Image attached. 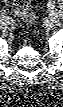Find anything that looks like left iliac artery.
<instances>
[{"instance_id": "obj_1", "label": "left iliac artery", "mask_w": 63, "mask_h": 107, "mask_svg": "<svg viewBox=\"0 0 63 107\" xmlns=\"http://www.w3.org/2000/svg\"><path fill=\"white\" fill-rule=\"evenodd\" d=\"M48 7H49V9H52V10H53L54 5L50 2V3H48Z\"/></svg>"}]
</instances>
